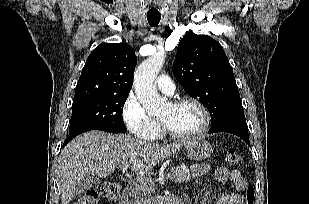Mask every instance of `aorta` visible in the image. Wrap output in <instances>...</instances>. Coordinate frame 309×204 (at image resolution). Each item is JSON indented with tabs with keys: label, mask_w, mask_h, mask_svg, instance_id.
<instances>
[{
	"label": "aorta",
	"mask_w": 309,
	"mask_h": 204,
	"mask_svg": "<svg viewBox=\"0 0 309 204\" xmlns=\"http://www.w3.org/2000/svg\"><path fill=\"white\" fill-rule=\"evenodd\" d=\"M165 61L163 52L156 53L143 61L134 73V87L136 95L149 113L161 111L166 101L160 97L154 84L155 78Z\"/></svg>",
	"instance_id": "obj_1"
}]
</instances>
